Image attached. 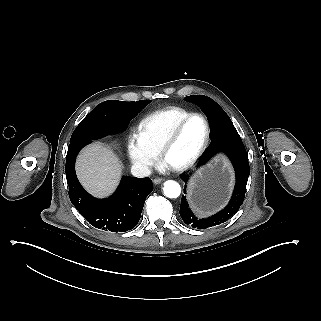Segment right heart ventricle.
<instances>
[{
	"label": "right heart ventricle",
	"mask_w": 321,
	"mask_h": 321,
	"mask_svg": "<svg viewBox=\"0 0 321 321\" xmlns=\"http://www.w3.org/2000/svg\"><path fill=\"white\" fill-rule=\"evenodd\" d=\"M191 113L190 110L179 106L156 110L141 120L139 132L159 155L161 146L174 124Z\"/></svg>",
	"instance_id": "1"
}]
</instances>
